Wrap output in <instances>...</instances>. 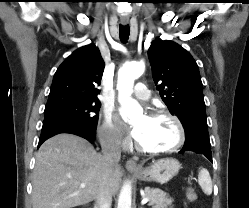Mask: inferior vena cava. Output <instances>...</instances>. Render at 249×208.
Returning a JSON list of instances; mask_svg holds the SVG:
<instances>
[{"label": "inferior vena cava", "instance_id": "602c4592", "mask_svg": "<svg viewBox=\"0 0 249 208\" xmlns=\"http://www.w3.org/2000/svg\"><path fill=\"white\" fill-rule=\"evenodd\" d=\"M121 140L116 133H110L103 137L101 141L102 160L104 168L105 183L110 173L116 168L121 159ZM112 194L108 188L102 189L95 200L94 208H111Z\"/></svg>", "mask_w": 249, "mask_h": 208}]
</instances>
